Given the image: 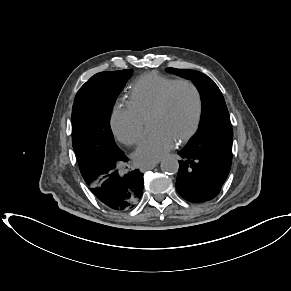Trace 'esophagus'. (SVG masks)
Instances as JSON below:
<instances>
[{
	"mask_svg": "<svg viewBox=\"0 0 291 291\" xmlns=\"http://www.w3.org/2000/svg\"><path fill=\"white\" fill-rule=\"evenodd\" d=\"M159 164V161L156 163L146 164L141 167V170H151Z\"/></svg>",
	"mask_w": 291,
	"mask_h": 291,
	"instance_id": "1",
	"label": "esophagus"
}]
</instances>
